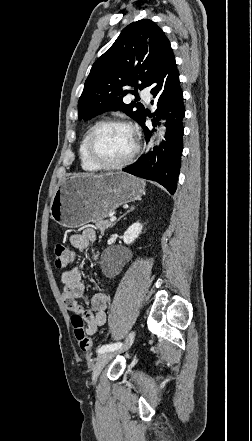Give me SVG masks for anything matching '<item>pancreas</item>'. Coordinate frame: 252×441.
Returning <instances> with one entry per match:
<instances>
[{
    "instance_id": "obj_1",
    "label": "pancreas",
    "mask_w": 252,
    "mask_h": 441,
    "mask_svg": "<svg viewBox=\"0 0 252 441\" xmlns=\"http://www.w3.org/2000/svg\"><path fill=\"white\" fill-rule=\"evenodd\" d=\"M95 224V227L101 232V234H104L105 230L112 227L113 223L108 220H95L93 221Z\"/></svg>"
}]
</instances>
